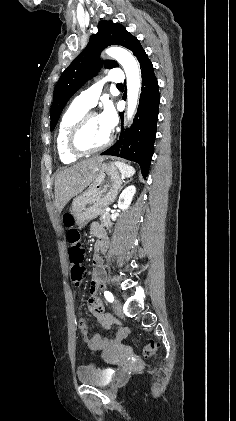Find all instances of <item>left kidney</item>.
Instances as JSON below:
<instances>
[{"label": "left kidney", "instance_id": "1", "mask_svg": "<svg viewBox=\"0 0 236 421\" xmlns=\"http://www.w3.org/2000/svg\"><path fill=\"white\" fill-rule=\"evenodd\" d=\"M136 192V188L134 184L131 186H127L124 188L123 192H121L118 198V208H121V211H127L128 206L131 204V200Z\"/></svg>", "mask_w": 236, "mask_h": 421}]
</instances>
